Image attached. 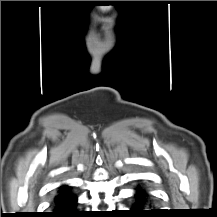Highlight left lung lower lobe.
I'll use <instances>...</instances> for the list:
<instances>
[{"label": "left lung lower lobe", "instance_id": "1", "mask_svg": "<svg viewBox=\"0 0 217 217\" xmlns=\"http://www.w3.org/2000/svg\"><path fill=\"white\" fill-rule=\"evenodd\" d=\"M135 202L133 204V214L137 217H158L160 211L154 209L146 191L138 186L135 189Z\"/></svg>", "mask_w": 217, "mask_h": 217}]
</instances>
